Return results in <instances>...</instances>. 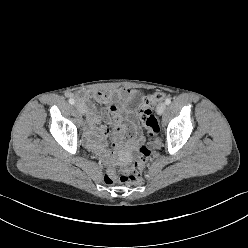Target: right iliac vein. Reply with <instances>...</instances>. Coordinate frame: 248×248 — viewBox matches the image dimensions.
I'll return each instance as SVG.
<instances>
[{"label":"right iliac vein","mask_w":248,"mask_h":248,"mask_svg":"<svg viewBox=\"0 0 248 248\" xmlns=\"http://www.w3.org/2000/svg\"><path fill=\"white\" fill-rule=\"evenodd\" d=\"M75 107H76V109L81 113V114H85V106H84V104L83 103H81V102H76L75 103Z\"/></svg>","instance_id":"obj_1"}]
</instances>
